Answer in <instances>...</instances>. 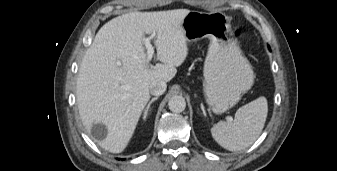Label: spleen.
Returning <instances> with one entry per match:
<instances>
[{
	"label": "spleen",
	"instance_id": "3e777b00",
	"mask_svg": "<svg viewBox=\"0 0 337 171\" xmlns=\"http://www.w3.org/2000/svg\"><path fill=\"white\" fill-rule=\"evenodd\" d=\"M264 96L240 107L233 121H220L211 128L214 140L229 151H240L252 145L261 134L267 118Z\"/></svg>",
	"mask_w": 337,
	"mask_h": 171
}]
</instances>
